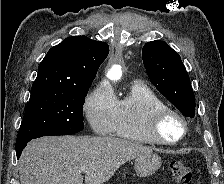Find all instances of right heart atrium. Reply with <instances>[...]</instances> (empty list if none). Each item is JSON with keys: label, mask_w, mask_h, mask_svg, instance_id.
Wrapping results in <instances>:
<instances>
[{"label": "right heart atrium", "mask_w": 224, "mask_h": 184, "mask_svg": "<svg viewBox=\"0 0 224 184\" xmlns=\"http://www.w3.org/2000/svg\"><path fill=\"white\" fill-rule=\"evenodd\" d=\"M116 100L114 92L105 83L98 84L86 97L84 113L94 132L106 134L111 131Z\"/></svg>", "instance_id": "d8ad5b80"}]
</instances>
